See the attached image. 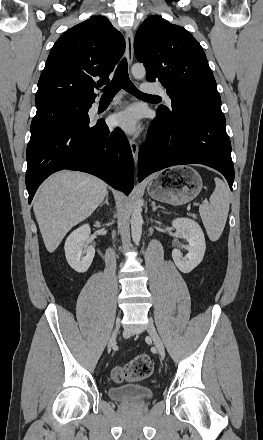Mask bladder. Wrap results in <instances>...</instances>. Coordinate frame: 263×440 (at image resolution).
<instances>
[{"mask_svg": "<svg viewBox=\"0 0 263 440\" xmlns=\"http://www.w3.org/2000/svg\"><path fill=\"white\" fill-rule=\"evenodd\" d=\"M108 396L117 402L144 403L153 397L152 392L143 386L124 385L115 386L108 389Z\"/></svg>", "mask_w": 263, "mask_h": 440, "instance_id": "1", "label": "bladder"}]
</instances>
